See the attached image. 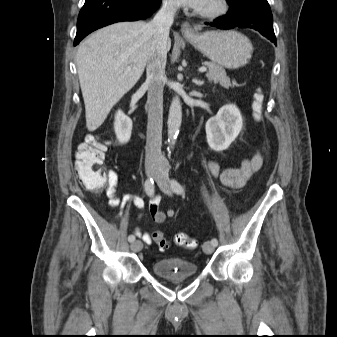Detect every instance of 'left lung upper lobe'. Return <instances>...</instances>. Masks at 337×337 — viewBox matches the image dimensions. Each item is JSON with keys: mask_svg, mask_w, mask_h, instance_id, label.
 Listing matches in <instances>:
<instances>
[{"mask_svg": "<svg viewBox=\"0 0 337 337\" xmlns=\"http://www.w3.org/2000/svg\"><path fill=\"white\" fill-rule=\"evenodd\" d=\"M243 1H246V0H227V2L229 3L230 7H233L235 4L241 3Z\"/></svg>", "mask_w": 337, "mask_h": 337, "instance_id": "1", "label": "left lung upper lobe"}]
</instances>
